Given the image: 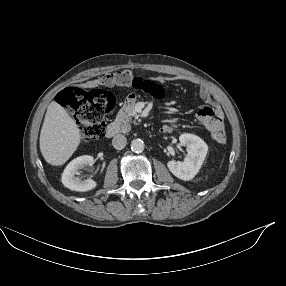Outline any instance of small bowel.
Returning <instances> with one entry per match:
<instances>
[{"instance_id": "small-bowel-1", "label": "small bowel", "mask_w": 286, "mask_h": 286, "mask_svg": "<svg viewBox=\"0 0 286 286\" xmlns=\"http://www.w3.org/2000/svg\"><path fill=\"white\" fill-rule=\"evenodd\" d=\"M136 79L133 77V74L129 71H119L113 73V76L109 79L104 78L102 83L106 85H118V86H136ZM199 96L206 103L213 105L214 107H204L198 112V118L202 121L206 128L207 126L214 121H219L224 124V115L219 106L215 105L216 99L213 96L212 92L205 86L199 87ZM137 96L134 93H129L126 96V99L123 104V110L119 114V119L122 122L130 121L133 115V109L136 105ZM162 131L165 133L172 131L171 125H163Z\"/></svg>"}]
</instances>
